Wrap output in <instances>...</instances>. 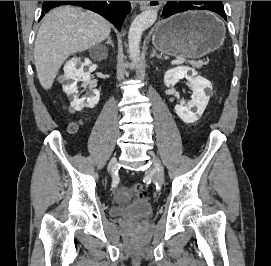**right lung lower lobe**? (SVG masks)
I'll list each match as a JSON object with an SVG mask.
<instances>
[{
	"label": "right lung lower lobe",
	"mask_w": 271,
	"mask_h": 266,
	"mask_svg": "<svg viewBox=\"0 0 271 266\" xmlns=\"http://www.w3.org/2000/svg\"><path fill=\"white\" fill-rule=\"evenodd\" d=\"M75 5L87 8L109 20L118 30L130 12V4L122 1H44L40 19L50 9L60 5Z\"/></svg>",
	"instance_id": "obj_1"
}]
</instances>
